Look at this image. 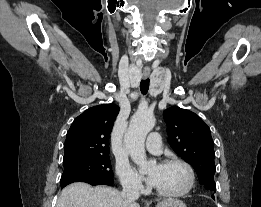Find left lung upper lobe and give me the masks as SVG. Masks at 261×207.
Returning a JSON list of instances; mask_svg holds the SVG:
<instances>
[{
	"label": "left lung upper lobe",
	"mask_w": 261,
	"mask_h": 207,
	"mask_svg": "<svg viewBox=\"0 0 261 207\" xmlns=\"http://www.w3.org/2000/svg\"><path fill=\"white\" fill-rule=\"evenodd\" d=\"M172 149L195 169L207 190L216 191L213 140L207 124L195 113L170 107L163 113Z\"/></svg>",
	"instance_id": "1"
}]
</instances>
